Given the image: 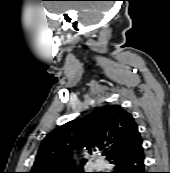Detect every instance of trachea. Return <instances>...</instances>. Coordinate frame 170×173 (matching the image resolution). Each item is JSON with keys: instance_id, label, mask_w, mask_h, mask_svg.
Instances as JSON below:
<instances>
[{"instance_id": "3493384b", "label": "trachea", "mask_w": 170, "mask_h": 173, "mask_svg": "<svg viewBox=\"0 0 170 173\" xmlns=\"http://www.w3.org/2000/svg\"><path fill=\"white\" fill-rule=\"evenodd\" d=\"M108 153L106 152V153H104L103 155H107Z\"/></svg>"}]
</instances>
